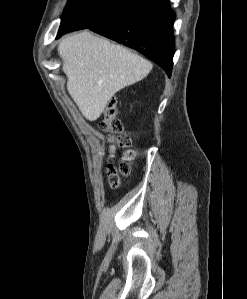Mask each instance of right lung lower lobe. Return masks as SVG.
I'll return each instance as SVG.
<instances>
[{"instance_id": "obj_1", "label": "right lung lower lobe", "mask_w": 247, "mask_h": 299, "mask_svg": "<svg viewBox=\"0 0 247 299\" xmlns=\"http://www.w3.org/2000/svg\"><path fill=\"white\" fill-rule=\"evenodd\" d=\"M174 20L169 0H134L120 14L89 29L137 50L170 76L175 53Z\"/></svg>"}]
</instances>
